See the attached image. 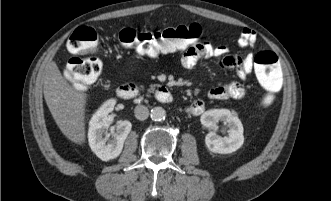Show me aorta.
<instances>
[{
  "label": "aorta",
  "mask_w": 331,
  "mask_h": 201,
  "mask_svg": "<svg viewBox=\"0 0 331 201\" xmlns=\"http://www.w3.org/2000/svg\"><path fill=\"white\" fill-rule=\"evenodd\" d=\"M150 117L155 122H161L166 118V111L162 107H154L151 109Z\"/></svg>",
  "instance_id": "762f6f07"
}]
</instances>
